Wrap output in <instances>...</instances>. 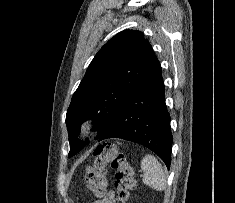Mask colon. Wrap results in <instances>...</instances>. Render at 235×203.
Wrapping results in <instances>:
<instances>
[{
    "mask_svg": "<svg viewBox=\"0 0 235 203\" xmlns=\"http://www.w3.org/2000/svg\"><path fill=\"white\" fill-rule=\"evenodd\" d=\"M108 169L115 174V202L126 203L135 187L134 172L124 153L114 144H102L95 148L92 164L87 168L84 177L86 185L96 196H104L108 187Z\"/></svg>",
    "mask_w": 235,
    "mask_h": 203,
    "instance_id": "obj_1",
    "label": "colon"
}]
</instances>
